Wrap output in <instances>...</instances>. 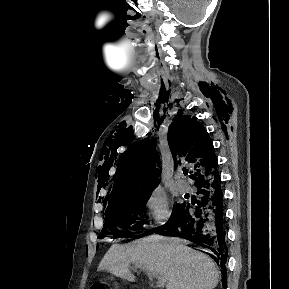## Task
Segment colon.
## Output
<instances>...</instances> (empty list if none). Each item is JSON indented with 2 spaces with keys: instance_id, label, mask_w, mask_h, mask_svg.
<instances>
[{
  "instance_id": "5ec220e1",
  "label": "colon",
  "mask_w": 289,
  "mask_h": 289,
  "mask_svg": "<svg viewBox=\"0 0 289 289\" xmlns=\"http://www.w3.org/2000/svg\"><path fill=\"white\" fill-rule=\"evenodd\" d=\"M90 289H108V287L102 282H96L91 286Z\"/></svg>"
}]
</instances>
